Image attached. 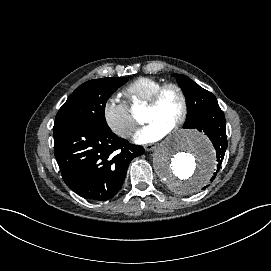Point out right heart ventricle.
Listing matches in <instances>:
<instances>
[{"label":"right heart ventricle","instance_id":"obj_1","mask_svg":"<svg viewBox=\"0 0 271 271\" xmlns=\"http://www.w3.org/2000/svg\"><path fill=\"white\" fill-rule=\"evenodd\" d=\"M163 82L153 77H139L124 88V93L130 98L133 106L147 105L154 92Z\"/></svg>","mask_w":271,"mask_h":271}]
</instances>
